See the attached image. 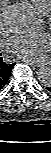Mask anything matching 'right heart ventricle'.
<instances>
[{"label":"right heart ventricle","instance_id":"1","mask_svg":"<svg viewBox=\"0 0 51 153\" xmlns=\"http://www.w3.org/2000/svg\"><path fill=\"white\" fill-rule=\"evenodd\" d=\"M41 15H48L51 12V0H31Z\"/></svg>","mask_w":51,"mask_h":153}]
</instances>
